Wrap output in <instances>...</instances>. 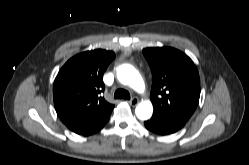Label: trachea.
Returning <instances> with one entry per match:
<instances>
[{
    "label": "trachea",
    "instance_id": "trachea-1",
    "mask_svg": "<svg viewBox=\"0 0 249 165\" xmlns=\"http://www.w3.org/2000/svg\"><path fill=\"white\" fill-rule=\"evenodd\" d=\"M114 98L115 99H126L129 100L130 99V94L128 91L124 90V89H117L114 93Z\"/></svg>",
    "mask_w": 249,
    "mask_h": 165
}]
</instances>
